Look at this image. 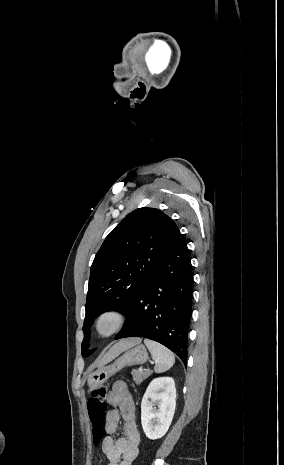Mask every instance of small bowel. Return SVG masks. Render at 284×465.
Segmentation results:
<instances>
[{
	"label": "small bowel",
	"mask_w": 284,
	"mask_h": 465,
	"mask_svg": "<svg viewBox=\"0 0 284 465\" xmlns=\"http://www.w3.org/2000/svg\"><path fill=\"white\" fill-rule=\"evenodd\" d=\"M107 401L112 409L107 415V436L103 439L102 449L108 459V465H132L139 454L140 443L132 392L124 381H116ZM121 420L124 435L115 437L113 434Z\"/></svg>",
	"instance_id": "c3829d8e"
}]
</instances>
